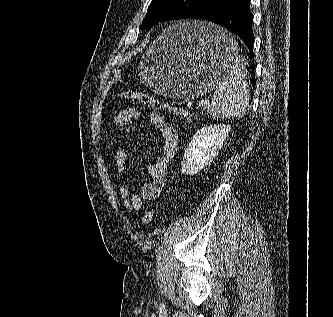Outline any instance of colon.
<instances>
[{
    "instance_id": "1",
    "label": "colon",
    "mask_w": 333,
    "mask_h": 317,
    "mask_svg": "<svg viewBox=\"0 0 333 317\" xmlns=\"http://www.w3.org/2000/svg\"><path fill=\"white\" fill-rule=\"evenodd\" d=\"M120 98L136 101L140 104L146 105L150 108L160 110L169 114H173L183 118L186 121L191 120V115L188 111L174 107L172 105L163 103L162 101L140 91H125L119 94ZM153 210H147L143 217L142 223L145 226H149L153 220Z\"/></svg>"
}]
</instances>
